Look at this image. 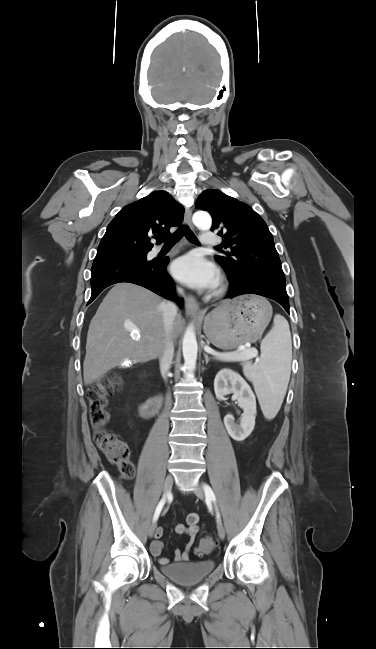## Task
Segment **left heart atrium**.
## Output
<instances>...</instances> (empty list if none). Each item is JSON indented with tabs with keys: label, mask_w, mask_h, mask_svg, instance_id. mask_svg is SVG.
Returning a JSON list of instances; mask_svg holds the SVG:
<instances>
[{
	"label": "left heart atrium",
	"mask_w": 376,
	"mask_h": 649,
	"mask_svg": "<svg viewBox=\"0 0 376 649\" xmlns=\"http://www.w3.org/2000/svg\"><path fill=\"white\" fill-rule=\"evenodd\" d=\"M172 274L180 282L194 288L214 287L218 281L216 267L198 254H187L174 261Z\"/></svg>",
	"instance_id": "39dd6f15"
}]
</instances>
